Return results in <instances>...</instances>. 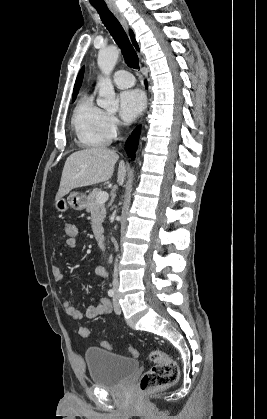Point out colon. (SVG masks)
<instances>
[{
	"instance_id": "colon-1",
	"label": "colon",
	"mask_w": 267,
	"mask_h": 419,
	"mask_svg": "<svg viewBox=\"0 0 267 419\" xmlns=\"http://www.w3.org/2000/svg\"><path fill=\"white\" fill-rule=\"evenodd\" d=\"M65 234V242L68 246H76L78 243V229L72 223H66L63 227ZM80 335L88 337L90 331L87 327H81ZM102 347L110 350L111 344L108 341L101 343ZM129 353L136 357L138 351L130 347ZM149 359L154 363V366L146 371L140 378L139 388L141 391H150L169 387L175 384L179 378V366L170 358L165 352L160 349H153L149 354Z\"/></svg>"
}]
</instances>
